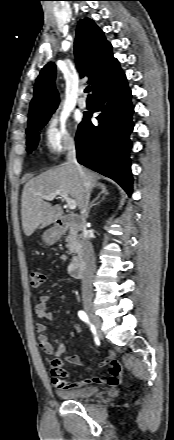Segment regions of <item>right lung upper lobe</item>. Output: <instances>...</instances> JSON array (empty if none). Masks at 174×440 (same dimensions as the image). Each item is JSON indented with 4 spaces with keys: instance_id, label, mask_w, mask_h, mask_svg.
<instances>
[{
    "instance_id": "right-lung-upper-lobe-1",
    "label": "right lung upper lobe",
    "mask_w": 174,
    "mask_h": 440,
    "mask_svg": "<svg viewBox=\"0 0 174 440\" xmlns=\"http://www.w3.org/2000/svg\"><path fill=\"white\" fill-rule=\"evenodd\" d=\"M75 56L82 76H88L93 92L112 67L118 63L113 57L112 46L102 30L89 18L78 23L75 39ZM56 67L53 62L44 66L36 79L34 97L30 104L28 127L47 120L59 104L54 85Z\"/></svg>"
}]
</instances>
